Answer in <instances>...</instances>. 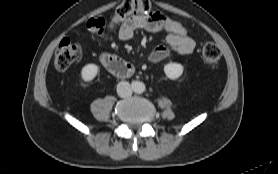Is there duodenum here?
I'll use <instances>...</instances> for the list:
<instances>
[{
    "mask_svg": "<svg viewBox=\"0 0 278 174\" xmlns=\"http://www.w3.org/2000/svg\"><path fill=\"white\" fill-rule=\"evenodd\" d=\"M101 60L106 69L115 75L123 76L131 71V65L118 56L104 54Z\"/></svg>",
    "mask_w": 278,
    "mask_h": 174,
    "instance_id": "410a0bca",
    "label": "duodenum"
}]
</instances>
